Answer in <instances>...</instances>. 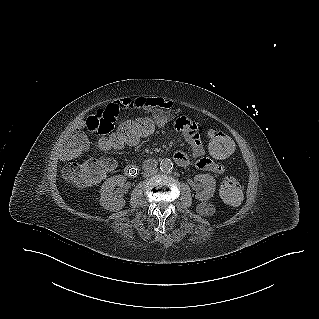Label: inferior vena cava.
<instances>
[{"instance_id": "1", "label": "inferior vena cava", "mask_w": 319, "mask_h": 319, "mask_svg": "<svg viewBox=\"0 0 319 319\" xmlns=\"http://www.w3.org/2000/svg\"><path fill=\"white\" fill-rule=\"evenodd\" d=\"M157 171H158V169H156V168L149 169V170H147V171L144 173V177H150V176L156 174Z\"/></svg>"}]
</instances>
